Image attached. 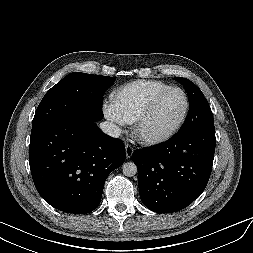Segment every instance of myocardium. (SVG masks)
<instances>
[{
  "label": "myocardium",
  "instance_id": "1",
  "mask_svg": "<svg viewBox=\"0 0 253 253\" xmlns=\"http://www.w3.org/2000/svg\"><path fill=\"white\" fill-rule=\"evenodd\" d=\"M172 91H179L182 93V95L184 97L185 107H184V110H183V113H182L180 119L178 120V122L175 124V126L173 128H171L169 131H167L163 134L154 135V136L144 135L142 133V127H143L144 122L147 120V118L149 117V115L153 111V109L156 106V104L158 103V101L164 95H166L167 93L172 92ZM189 109H190V101H189V97H188L186 91L180 87H177V86H170V87L158 92L150 99V101L147 103V105L144 107L143 111L140 113L137 120L135 121L134 134L136 135V137L139 141H141L142 143L147 144V145H157V144L164 143V142L170 140L172 137H174L179 132V130L181 129V127L183 126V124L186 121V118L189 113Z\"/></svg>",
  "mask_w": 253,
  "mask_h": 253
}]
</instances>
